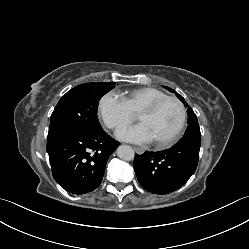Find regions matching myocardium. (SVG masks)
<instances>
[{"mask_svg": "<svg viewBox=\"0 0 249 249\" xmlns=\"http://www.w3.org/2000/svg\"><path fill=\"white\" fill-rule=\"evenodd\" d=\"M169 100L175 101L179 105L181 110V120L177 129L168 138L161 141H154L155 146L159 149H164L172 146L182 134L187 122V109L185 104L178 97L167 95L147 104L146 106L141 108L137 114L140 115L143 113L145 114L153 113L162 103Z\"/></svg>", "mask_w": 249, "mask_h": 249, "instance_id": "f54148a6", "label": "myocardium"}]
</instances>
